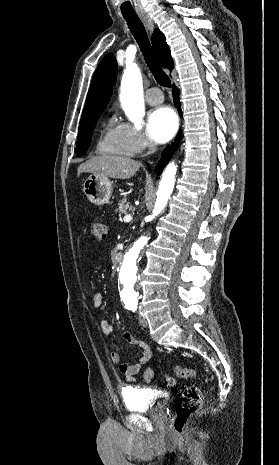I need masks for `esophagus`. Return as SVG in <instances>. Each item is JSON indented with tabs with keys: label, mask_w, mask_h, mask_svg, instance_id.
<instances>
[{
	"label": "esophagus",
	"mask_w": 279,
	"mask_h": 465,
	"mask_svg": "<svg viewBox=\"0 0 279 465\" xmlns=\"http://www.w3.org/2000/svg\"><path fill=\"white\" fill-rule=\"evenodd\" d=\"M139 18L141 19V21L143 22L145 27L150 32H152L153 29H154V22L150 19V17L148 15H146V14H139Z\"/></svg>",
	"instance_id": "esophagus-1"
}]
</instances>
